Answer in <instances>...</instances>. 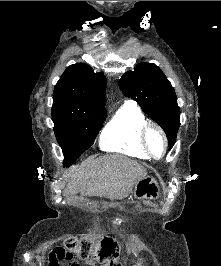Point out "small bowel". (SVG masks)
<instances>
[{
	"instance_id": "obj_1",
	"label": "small bowel",
	"mask_w": 221,
	"mask_h": 266,
	"mask_svg": "<svg viewBox=\"0 0 221 266\" xmlns=\"http://www.w3.org/2000/svg\"><path fill=\"white\" fill-rule=\"evenodd\" d=\"M52 251H67V246H52ZM75 257V252H50V257L48 258L47 266H81L79 264V258H70ZM86 266H96L95 263L91 260L86 262Z\"/></svg>"
}]
</instances>
